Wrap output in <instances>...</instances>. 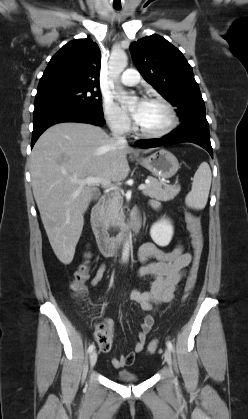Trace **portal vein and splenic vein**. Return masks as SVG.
<instances>
[{"label": "portal vein and splenic vein", "mask_w": 248, "mask_h": 419, "mask_svg": "<svg viewBox=\"0 0 248 419\" xmlns=\"http://www.w3.org/2000/svg\"><path fill=\"white\" fill-rule=\"evenodd\" d=\"M74 182L80 184V185H85V184H102L104 186H112L111 182L105 181L101 178H96V177H86L85 179L82 180H75ZM113 187V186H112ZM115 190L117 189L116 187H113ZM146 188V184H140L138 189L139 190H144Z\"/></svg>", "instance_id": "obj_1"}]
</instances>
